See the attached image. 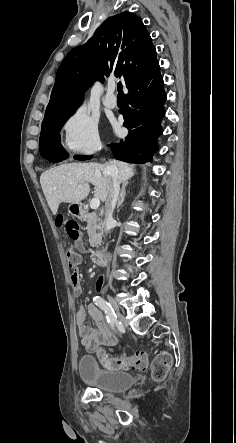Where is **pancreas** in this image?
Instances as JSON below:
<instances>
[{
    "mask_svg": "<svg viewBox=\"0 0 236 443\" xmlns=\"http://www.w3.org/2000/svg\"><path fill=\"white\" fill-rule=\"evenodd\" d=\"M84 220L87 222V233L89 236V243L92 247H97L101 244L103 236V224L99 217L94 213H87L84 216Z\"/></svg>",
    "mask_w": 236,
    "mask_h": 443,
    "instance_id": "cf45deb5",
    "label": "pancreas"
}]
</instances>
